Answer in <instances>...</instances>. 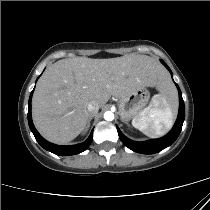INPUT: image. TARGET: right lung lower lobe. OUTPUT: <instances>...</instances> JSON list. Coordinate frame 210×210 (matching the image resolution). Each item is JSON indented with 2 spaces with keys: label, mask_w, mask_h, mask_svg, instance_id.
<instances>
[{
  "label": "right lung lower lobe",
  "mask_w": 210,
  "mask_h": 210,
  "mask_svg": "<svg viewBox=\"0 0 210 210\" xmlns=\"http://www.w3.org/2000/svg\"><path fill=\"white\" fill-rule=\"evenodd\" d=\"M33 91L31 92L30 98H29L28 123H29V127H30L32 133L34 134L37 142L44 149H46L56 155H60V156L75 155V154H79V153L85 151L89 147V145L92 141L93 131L91 132L90 136L88 137V139L85 142L77 144V145H72V146L55 145V144L49 143L48 141H46L44 138L41 137V135L35 129V127L32 123V118H31V99H32Z\"/></svg>",
  "instance_id": "obj_1"
}]
</instances>
